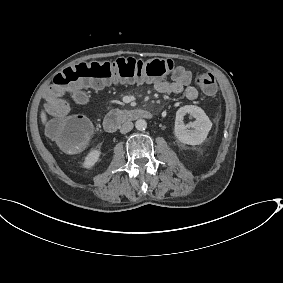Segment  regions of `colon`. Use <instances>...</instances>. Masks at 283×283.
I'll list each match as a JSON object with an SVG mask.
<instances>
[{
  "instance_id": "colon-1",
  "label": "colon",
  "mask_w": 283,
  "mask_h": 283,
  "mask_svg": "<svg viewBox=\"0 0 283 283\" xmlns=\"http://www.w3.org/2000/svg\"><path fill=\"white\" fill-rule=\"evenodd\" d=\"M175 69L170 59L141 60L118 58L111 61L80 63L57 74L54 84L69 89L78 103H84L83 87L101 88L109 82H136L158 80ZM198 87L207 95H214L217 84L214 76L199 73L195 77ZM50 138L67 152H77L89 142L93 124L85 116L71 115L53 120L48 126Z\"/></svg>"
}]
</instances>
